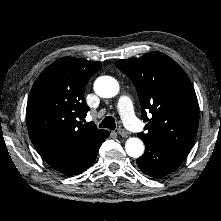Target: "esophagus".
<instances>
[{"instance_id": "obj_1", "label": "esophagus", "mask_w": 221, "mask_h": 221, "mask_svg": "<svg viewBox=\"0 0 221 221\" xmlns=\"http://www.w3.org/2000/svg\"><path fill=\"white\" fill-rule=\"evenodd\" d=\"M118 134L124 138H126L128 136V133L122 128L118 129Z\"/></svg>"}]
</instances>
